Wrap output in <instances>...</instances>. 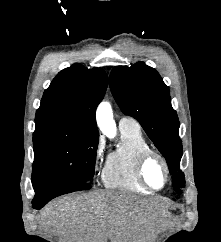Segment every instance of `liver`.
<instances>
[{"label":"liver","mask_w":221,"mask_h":242,"mask_svg":"<svg viewBox=\"0 0 221 242\" xmlns=\"http://www.w3.org/2000/svg\"><path fill=\"white\" fill-rule=\"evenodd\" d=\"M164 203L122 191L68 195L49 203L40 224L60 242H152Z\"/></svg>","instance_id":"obj_1"}]
</instances>
